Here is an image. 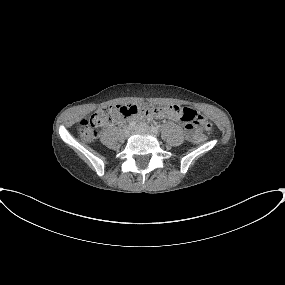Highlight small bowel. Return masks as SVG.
<instances>
[{
    "label": "small bowel",
    "instance_id": "c3829d8e",
    "mask_svg": "<svg viewBox=\"0 0 285 285\" xmlns=\"http://www.w3.org/2000/svg\"><path fill=\"white\" fill-rule=\"evenodd\" d=\"M178 108H179V110L176 111L175 113L171 114V116H170V118H171L172 120H174V121H182V120H181L182 108H180V107H178ZM158 117L164 118V117H166V115H164V114H158Z\"/></svg>",
    "mask_w": 285,
    "mask_h": 285
}]
</instances>
